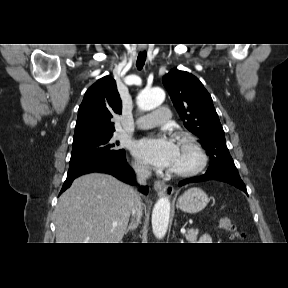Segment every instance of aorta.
<instances>
[{
	"label": "aorta",
	"instance_id": "1",
	"mask_svg": "<svg viewBox=\"0 0 288 288\" xmlns=\"http://www.w3.org/2000/svg\"><path fill=\"white\" fill-rule=\"evenodd\" d=\"M165 93L160 88L143 90L137 97V105L143 111H149L163 103ZM170 217V200L158 199L152 211V229L156 238L162 239L168 229Z\"/></svg>",
	"mask_w": 288,
	"mask_h": 288
}]
</instances>
